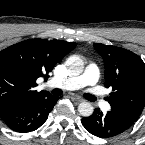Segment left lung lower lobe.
I'll use <instances>...</instances> for the list:
<instances>
[{"mask_svg":"<svg viewBox=\"0 0 145 145\" xmlns=\"http://www.w3.org/2000/svg\"><path fill=\"white\" fill-rule=\"evenodd\" d=\"M82 124L91 134L101 138L114 137L128 129L108 112L103 114L99 108L91 116L82 118Z\"/></svg>","mask_w":145,"mask_h":145,"instance_id":"left-lung-lower-lobe-1","label":"left lung lower lobe"}]
</instances>
